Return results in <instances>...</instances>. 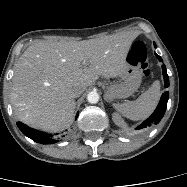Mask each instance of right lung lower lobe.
I'll return each mask as SVG.
<instances>
[{"instance_id": "1", "label": "right lung lower lobe", "mask_w": 187, "mask_h": 187, "mask_svg": "<svg viewBox=\"0 0 187 187\" xmlns=\"http://www.w3.org/2000/svg\"><path fill=\"white\" fill-rule=\"evenodd\" d=\"M76 117H78V114L76 115ZM17 126L24 135L37 143L52 144L58 142V140L53 139V135L32 129L21 122H17Z\"/></svg>"}]
</instances>
